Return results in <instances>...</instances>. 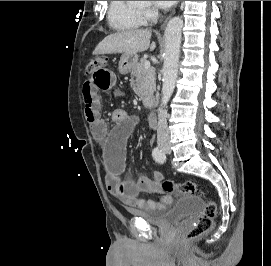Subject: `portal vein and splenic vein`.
<instances>
[{"mask_svg":"<svg viewBox=\"0 0 271 266\" xmlns=\"http://www.w3.org/2000/svg\"><path fill=\"white\" fill-rule=\"evenodd\" d=\"M150 67H151L150 62L147 61V62L145 63V69H148V68H150Z\"/></svg>","mask_w":271,"mask_h":266,"instance_id":"portal-vein-and-splenic-vein-1","label":"portal vein and splenic vein"}]
</instances>
